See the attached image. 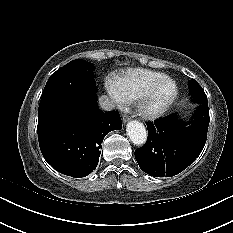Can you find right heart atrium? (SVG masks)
<instances>
[{"label":"right heart atrium","instance_id":"right-heart-atrium-1","mask_svg":"<svg viewBox=\"0 0 233 233\" xmlns=\"http://www.w3.org/2000/svg\"><path fill=\"white\" fill-rule=\"evenodd\" d=\"M106 88L107 91L109 92L111 98L113 99V101L115 102V104L119 107V108H123L126 100L123 99L119 93L116 91L115 86H114V81L108 80L106 82Z\"/></svg>","mask_w":233,"mask_h":233}]
</instances>
